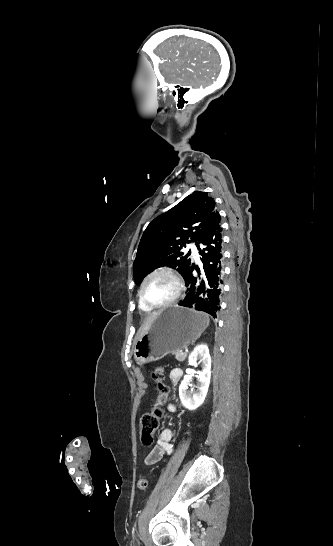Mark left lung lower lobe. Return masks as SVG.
<instances>
[{
    "instance_id": "obj_1",
    "label": "left lung lower lobe",
    "mask_w": 333,
    "mask_h": 546,
    "mask_svg": "<svg viewBox=\"0 0 333 546\" xmlns=\"http://www.w3.org/2000/svg\"><path fill=\"white\" fill-rule=\"evenodd\" d=\"M221 222L218 215L210 227L205 230L197 243L201 261L203 263V279L198 280L192 275L195 266L192 264L184 278L187 293L180 306L190 307L204 311L214 318L220 310V299L222 296V237ZM199 272V269L196 268Z\"/></svg>"
}]
</instances>
